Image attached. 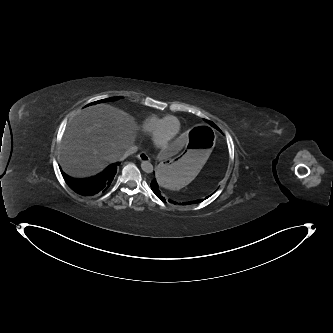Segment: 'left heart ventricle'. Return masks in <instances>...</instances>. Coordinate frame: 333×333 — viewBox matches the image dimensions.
<instances>
[{
  "label": "left heart ventricle",
  "instance_id": "1",
  "mask_svg": "<svg viewBox=\"0 0 333 333\" xmlns=\"http://www.w3.org/2000/svg\"><path fill=\"white\" fill-rule=\"evenodd\" d=\"M177 128L178 125L175 119L168 120L163 128L162 139L169 140L172 138L175 135Z\"/></svg>",
  "mask_w": 333,
  "mask_h": 333
}]
</instances>
